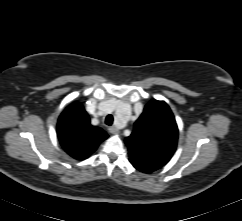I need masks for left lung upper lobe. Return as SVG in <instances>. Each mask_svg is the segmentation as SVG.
<instances>
[{"mask_svg": "<svg viewBox=\"0 0 242 221\" xmlns=\"http://www.w3.org/2000/svg\"><path fill=\"white\" fill-rule=\"evenodd\" d=\"M177 139L178 128L169 106L163 101L152 100L125 140L130 162L161 167L174 154Z\"/></svg>", "mask_w": 242, "mask_h": 221, "instance_id": "5c2ea615", "label": "left lung upper lobe"}]
</instances>
